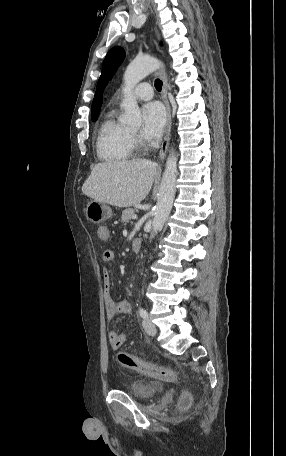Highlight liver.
Returning <instances> with one entry per match:
<instances>
[{"mask_svg": "<svg viewBox=\"0 0 286 456\" xmlns=\"http://www.w3.org/2000/svg\"><path fill=\"white\" fill-rule=\"evenodd\" d=\"M156 171L157 163L146 159L98 163L82 192L97 202L130 207L149 194Z\"/></svg>", "mask_w": 286, "mask_h": 456, "instance_id": "liver-1", "label": "liver"}]
</instances>
